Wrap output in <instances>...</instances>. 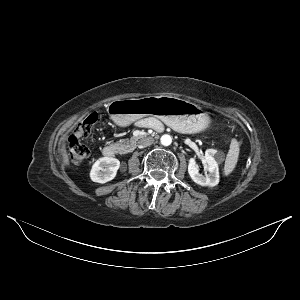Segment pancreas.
Returning a JSON list of instances; mask_svg holds the SVG:
<instances>
[{"instance_id":"obj_1","label":"pancreas","mask_w":300,"mask_h":300,"mask_svg":"<svg viewBox=\"0 0 300 300\" xmlns=\"http://www.w3.org/2000/svg\"><path fill=\"white\" fill-rule=\"evenodd\" d=\"M137 139H138L137 137H132L130 140L122 139L119 142L115 143V145L120 150V153L125 154L132 150L131 144H134L137 141Z\"/></svg>"}]
</instances>
